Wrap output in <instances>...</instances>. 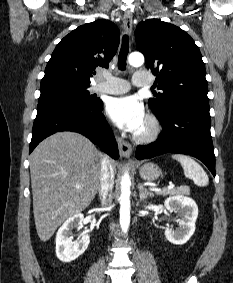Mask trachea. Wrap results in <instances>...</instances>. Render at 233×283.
<instances>
[{"label":"trachea","instance_id":"trachea-1","mask_svg":"<svg viewBox=\"0 0 233 283\" xmlns=\"http://www.w3.org/2000/svg\"><path fill=\"white\" fill-rule=\"evenodd\" d=\"M129 52V37L128 35H124L122 38V45L118 57V68L120 70L126 69V59Z\"/></svg>","mask_w":233,"mask_h":283}]
</instances>
